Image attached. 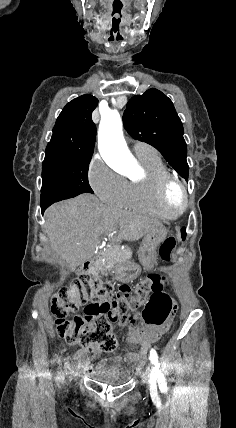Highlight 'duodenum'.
I'll use <instances>...</instances> for the list:
<instances>
[{
    "label": "duodenum",
    "instance_id": "duodenum-1",
    "mask_svg": "<svg viewBox=\"0 0 236 428\" xmlns=\"http://www.w3.org/2000/svg\"><path fill=\"white\" fill-rule=\"evenodd\" d=\"M97 260H98V257H93V258L86 260L81 265L80 274L82 276H87L90 273L91 269L94 267Z\"/></svg>",
    "mask_w": 236,
    "mask_h": 428
}]
</instances>
